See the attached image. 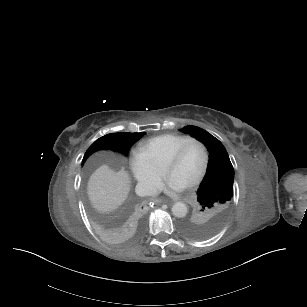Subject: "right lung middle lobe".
Returning a JSON list of instances; mask_svg holds the SVG:
<instances>
[{
	"label": "right lung middle lobe",
	"instance_id": "obj_1",
	"mask_svg": "<svg viewBox=\"0 0 307 307\" xmlns=\"http://www.w3.org/2000/svg\"><path fill=\"white\" fill-rule=\"evenodd\" d=\"M144 133H111L97 139L86 151L82 163L95 151L110 149L124 155L128 154L130 147L140 139Z\"/></svg>",
	"mask_w": 307,
	"mask_h": 307
}]
</instances>
